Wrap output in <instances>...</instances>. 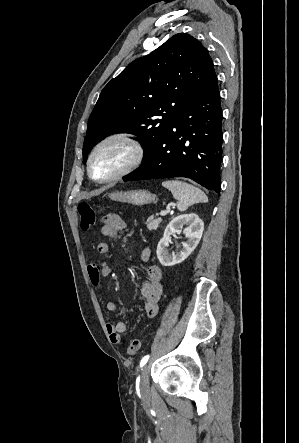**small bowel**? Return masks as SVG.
Masks as SVG:
<instances>
[{
  "instance_id": "small-bowel-1",
  "label": "small bowel",
  "mask_w": 299,
  "mask_h": 443,
  "mask_svg": "<svg viewBox=\"0 0 299 443\" xmlns=\"http://www.w3.org/2000/svg\"><path fill=\"white\" fill-rule=\"evenodd\" d=\"M126 227L125 221L118 214H108L104 218L101 226V234L112 241H117ZM97 251L100 255H106L109 252V244L100 242L97 245ZM141 258L143 261H148L150 258V250L144 249ZM111 266L101 261L99 263L91 264L88 267V275L91 283L95 287L100 286L101 279L110 276ZM147 280L141 285L140 294L144 301V311L147 317H153L159 310V301L162 295V271L158 266L151 265L146 269ZM106 310L114 313L117 310L116 303L108 300L105 303ZM107 332L113 344L122 343V334L126 331L125 322L118 320L110 322L106 325Z\"/></svg>"
}]
</instances>
